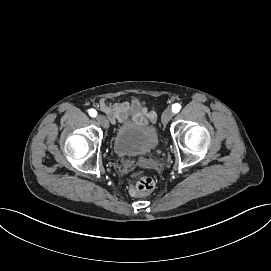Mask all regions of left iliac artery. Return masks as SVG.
Returning <instances> with one entry per match:
<instances>
[{"mask_svg":"<svg viewBox=\"0 0 271 271\" xmlns=\"http://www.w3.org/2000/svg\"><path fill=\"white\" fill-rule=\"evenodd\" d=\"M180 109H181V105L180 104L175 103V104L172 105V111L174 113H178L180 111ZM170 126H171V123H170Z\"/></svg>","mask_w":271,"mask_h":271,"instance_id":"left-iliac-artery-1","label":"left iliac artery"}]
</instances>
